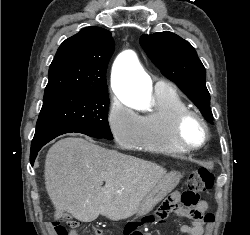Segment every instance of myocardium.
<instances>
[{
    "mask_svg": "<svg viewBox=\"0 0 250 235\" xmlns=\"http://www.w3.org/2000/svg\"><path fill=\"white\" fill-rule=\"evenodd\" d=\"M196 119L202 126L204 136L202 141L198 145H190L183 138V127L185 123L190 119ZM172 136L174 142L184 151H197L203 148L210 137L209 126L206 119L197 111L186 109L179 112L173 121L172 125Z\"/></svg>",
    "mask_w": 250,
    "mask_h": 235,
    "instance_id": "f54148a6",
    "label": "myocardium"
}]
</instances>
